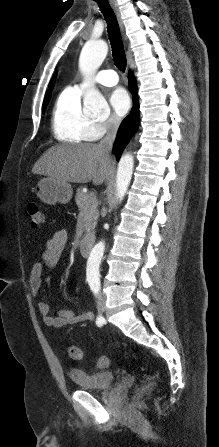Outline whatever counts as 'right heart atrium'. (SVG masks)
Listing matches in <instances>:
<instances>
[{
	"mask_svg": "<svg viewBox=\"0 0 219 447\" xmlns=\"http://www.w3.org/2000/svg\"><path fill=\"white\" fill-rule=\"evenodd\" d=\"M119 125V120L115 117L108 118L96 124L97 132L101 136L114 131Z\"/></svg>",
	"mask_w": 219,
	"mask_h": 447,
	"instance_id": "d8ad5b80",
	"label": "right heart atrium"
}]
</instances>
